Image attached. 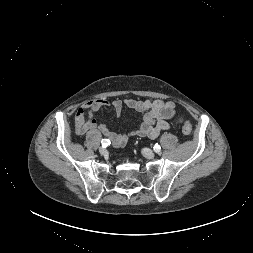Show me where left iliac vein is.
Returning <instances> with one entry per match:
<instances>
[{"instance_id": "obj_1", "label": "left iliac vein", "mask_w": 253, "mask_h": 253, "mask_svg": "<svg viewBox=\"0 0 253 253\" xmlns=\"http://www.w3.org/2000/svg\"><path fill=\"white\" fill-rule=\"evenodd\" d=\"M142 154L146 157V158H149V159H152L155 157V153L150 150V149H147V148H144L142 150Z\"/></svg>"}]
</instances>
